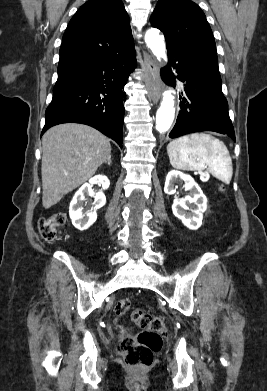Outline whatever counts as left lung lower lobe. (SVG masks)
I'll use <instances>...</instances> for the list:
<instances>
[{"label":"left lung lower lobe","mask_w":267,"mask_h":391,"mask_svg":"<svg viewBox=\"0 0 267 391\" xmlns=\"http://www.w3.org/2000/svg\"><path fill=\"white\" fill-rule=\"evenodd\" d=\"M168 65L161 69L163 81L170 86L178 78L184 83V97L176 124L169 134L176 138L198 131L227 134L235 141V132L228 114V103L222 93L218 64L188 55L167 46ZM178 76H174L172 70Z\"/></svg>","instance_id":"0a47b994"}]
</instances>
